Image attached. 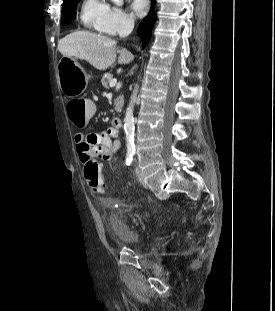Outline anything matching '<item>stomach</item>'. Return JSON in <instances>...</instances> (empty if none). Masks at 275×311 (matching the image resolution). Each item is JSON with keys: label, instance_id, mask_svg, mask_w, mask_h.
Masks as SVG:
<instances>
[{"label": "stomach", "instance_id": "1", "mask_svg": "<svg viewBox=\"0 0 275 311\" xmlns=\"http://www.w3.org/2000/svg\"><path fill=\"white\" fill-rule=\"evenodd\" d=\"M58 81L63 94L75 97L84 92L89 76L74 57H63L58 66Z\"/></svg>", "mask_w": 275, "mask_h": 311}]
</instances>
